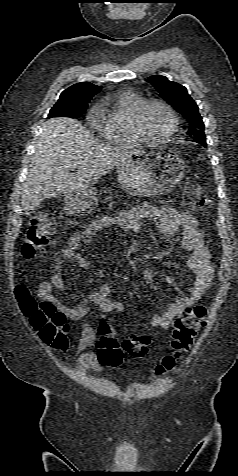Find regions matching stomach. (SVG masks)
I'll return each instance as SVG.
<instances>
[{"instance_id": "1", "label": "stomach", "mask_w": 238, "mask_h": 476, "mask_svg": "<svg viewBox=\"0 0 238 476\" xmlns=\"http://www.w3.org/2000/svg\"><path fill=\"white\" fill-rule=\"evenodd\" d=\"M185 171V161L172 148L148 144L147 151H137L134 158L117 167L120 185L135 194L153 196L165 193L176 185ZM92 185L69 192L64 199L65 210L72 215H87L97 206Z\"/></svg>"}]
</instances>
